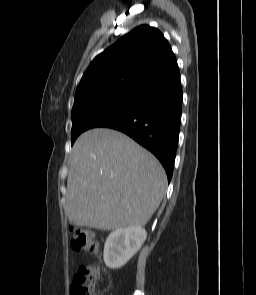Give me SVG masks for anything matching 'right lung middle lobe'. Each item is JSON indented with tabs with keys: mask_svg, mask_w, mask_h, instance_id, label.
I'll list each match as a JSON object with an SVG mask.
<instances>
[{
	"mask_svg": "<svg viewBox=\"0 0 256 295\" xmlns=\"http://www.w3.org/2000/svg\"><path fill=\"white\" fill-rule=\"evenodd\" d=\"M136 98V92L123 93L95 103L74 102L72 108V144L84 131L99 127L102 123L120 114Z\"/></svg>",
	"mask_w": 256,
	"mask_h": 295,
	"instance_id": "right-lung-middle-lobe-1",
	"label": "right lung middle lobe"
}]
</instances>
